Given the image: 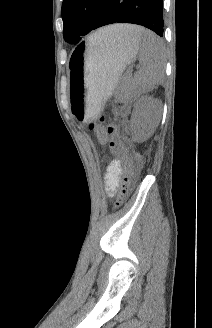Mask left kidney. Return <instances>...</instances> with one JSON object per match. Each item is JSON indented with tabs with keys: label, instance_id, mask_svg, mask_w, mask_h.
Segmentation results:
<instances>
[{
	"label": "left kidney",
	"instance_id": "1",
	"mask_svg": "<svg viewBox=\"0 0 212 328\" xmlns=\"http://www.w3.org/2000/svg\"><path fill=\"white\" fill-rule=\"evenodd\" d=\"M162 105L158 99L149 96L140 97L134 104L130 128L135 141L149 138L160 121Z\"/></svg>",
	"mask_w": 212,
	"mask_h": 328
}]
</instances>
